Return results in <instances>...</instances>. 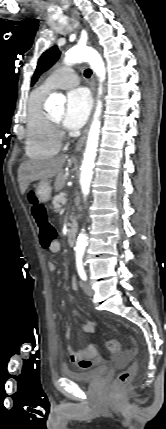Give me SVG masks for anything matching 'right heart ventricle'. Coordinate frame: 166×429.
Returning a JSON list of instances; mask_svg holds the SVG:
<instances>
[{
	"mask_svg": "<svg viewBox=\"0 0 166 429\" xmlns=\"http://www.w3.org/2000/svg\"><path fill=\"white\" fill-rule=\"evenodd\" d=\"M47 93L48 90L40 87L30 94L28 101L26 154L31 159L50 158L60 147V140L43 106Z\"/></svg>",
	"mask_w": 166,
	"mask_h": 429,
	"instance_id": "e07e8e85",
	"label": "right heart ventricle"
}]
</instances>
